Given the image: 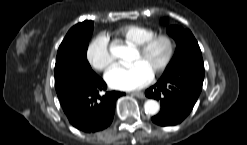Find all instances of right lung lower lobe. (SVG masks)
<instances>
[{"label":"right lung lower lobe","instance_id":"98d812e1","mask_svg":"<svg viewBox=\"0 0 247 145\" xmlns=\"http://www.w3.org/2000/svg\"><path fill=\"white\" fill-rule=\"evenodd\" d=\"M106 83L96 74L74 75L56 83V92L69 122L84 132H96L108 127L114 117L115 104L123 92H107Z\"/></svg>","mask_w":247,"mask_h":145}]
</instances>
